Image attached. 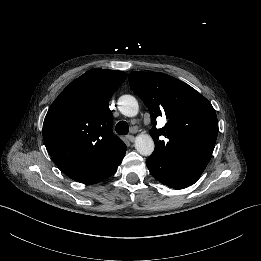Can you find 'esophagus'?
Masks as SVG:
<instances>
[{
    "instance_id": "obj_1",
    "label": "esophagus",
    "mask_w": 261,
    "mask_h": 261,
    "mask_svg": "<svg viewBox=\"0 0 261 261\" xmlns=\"http://www.w3.org/2000/svg\"><path fill=\"white\" fill-rule=\"evenodd\" d=\"M126 138H127L131 143H133L134 140H135V137H134L133 135H128Z\"/></svg>"
}]
</instances>
